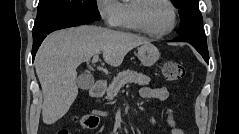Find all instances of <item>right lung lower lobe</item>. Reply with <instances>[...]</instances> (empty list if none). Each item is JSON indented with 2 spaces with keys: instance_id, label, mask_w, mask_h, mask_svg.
I'll use <instances>...</instances> for the list:
<instances>
[{
  "instance_id": "obj_1",
  "label": "right lung lower lobe",
  "mask_w": 239,
  "mask_h": 134,
  "mask_svg": "<svg viewBox=\"0 0 239 134\" xmlns=\"http://www.w3.org/2000/svg\"><path fill=\"white\" fill-rule=\"evenodd\" d=\"M94 21V19L84 17H65L49 23L44 28L33 34L32 59L34 60L39 46L49 33L58 29L78 26L82 24H89Z\"/></svg>"
}]
</instances>
